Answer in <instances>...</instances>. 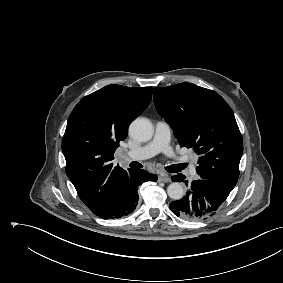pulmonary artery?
<instances>
[{"label":"pulmonary artery","instance_id":"obj_1","mask_svg":"<svg viewBox=\"0 0 283 283\" xmlns=\"http://www.w3.org/2000/svg\"><path fill=\"white\" fill-rule=\"evenodd\" d=\"M171 129L165 121H158L155 125V134L153 139L143 147L130 150L126 153L127 159L143 160L150 158L160 152L168 156H175L173 149L170 147ZM181 162H189L188 157L178 158ZM189 174L192 179L197 177L196 169L193 164L189 166Z\"/></svg>","mask_w":283,"mask_h":283}]
</instances>
